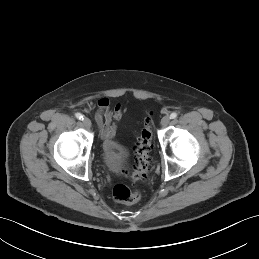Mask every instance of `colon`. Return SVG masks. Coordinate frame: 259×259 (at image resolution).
<instances>
[{
    "label": "colon",
    "instance_id": "obj_1",
    "mask_svg": "<svg viewBox=\"0 0 259 259\" xmlns=\"http://www.w3.org/2000/svg\"><path fill=\"white\" fill-rule=\"evenodd\" d=\"M153 147L152 116L145 119V126L134 147V170L130 175L133 182L143 179L150 170V152ZM113 199L118 203L133 204L141 198V192L124 184H117L112 190Z\"/></svg>",
    "mask_w": 259,
    "mask_h": 259
}]
</instances>
